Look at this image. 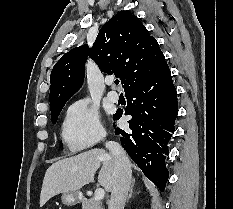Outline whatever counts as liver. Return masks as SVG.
<instances>
[{"label":"liver","instance_id":"1","mask_svg":"<svg viewBox=\"0 0 233 209\" xmlns=\"http://www.w3.org/2000/svg\"><path fill=\"white\" fill-rule=\"evenodd\" d=\"M101 164L98 183L107 192H111L115 172L113 157L104 149L96 148L59 160L47 169L40 194V207L53 196L76 192L92 182Z\"/></svg>","mask_w":233,"mask_h":209}]
</instances>
